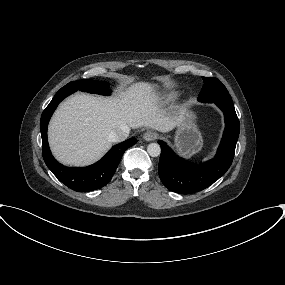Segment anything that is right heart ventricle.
<instances>
[{"instance_id": "right-heart-ventricle-1", "label": "right heart ventricle", "mask_w": 285, "mask_h": 285, "mask_svg": "<svg viewBox=\"0 0 285 285\" xmlns=\"http://www.w3.org/2000/svg\"><path fill=\"white\" fill-rule=\"evenodd\" d=\"M176 96H177V94L171 93V94H168V95H167V99H168V100H172V99H174Z\"/></svg>"}]
</instances>
